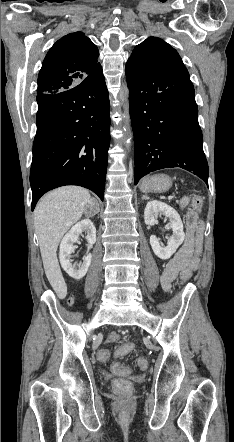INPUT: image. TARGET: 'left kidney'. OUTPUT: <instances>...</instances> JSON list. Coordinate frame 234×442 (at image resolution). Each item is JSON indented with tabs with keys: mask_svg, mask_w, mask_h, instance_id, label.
I'll return each mask as SVG.
<instances>
[{
	"mask_svg": "<svg viewBox=\"0 0 234 442\" xmlns=\"http://www.w3.org/2000/svg\"><path fill=\"white\" fill-rule=\"evenodd\" d=\"M163 214L169 218V225L172 228L173 234L168 239L166 247L160 245L159 239L152 235L150 237V245L153 252L160 259H169L182 244L185 238L183 231V223L177 211L166 203L152 200L146 205L144 211V221L148 226H152L157 222L158 215Z\"/></svg>",
	"mask_w": 234,
	"mask_h": 442,
	"instance_id": "obj_1",
	"label": "left kidney"
}]
</instances>
